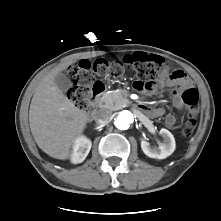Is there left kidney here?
Here are the masks:
<instances>
[{"mask_svg":"<svg viewBox=\"0 0 221 221\" xmlns=\"http://www.w3.org/2000/svg\"><path fill=\"white\" fill-rule=\"evenodd\" d=\"M159 133L163 137V143L158 147H151L147 141L141 140V149L150 158L165 159L174 152L175 139L167 129L162 128Z\"/></svg>","mask_w":221,"mask_h":221,"instance_id":"left-kidney-1","label":"left kidney"}]
</instances>
